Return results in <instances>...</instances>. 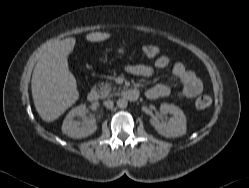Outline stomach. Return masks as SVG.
<instances>
[{
  "instance_id": "1",
  "label": "stomach",
  "mask_w": 249,
  "mask_h": 188,
  "mask_svg": "<svg viewBox=\"0 0 249 188\" xmlns=\"http://www.w3.org/2000/svg\"><path fill=\"white\" fill-rule=\"evenodd\" d=\"M118 53L123 54V53H124V49H122V48L119 49V50H118Z\"/></svg>"
}]
</instances>
